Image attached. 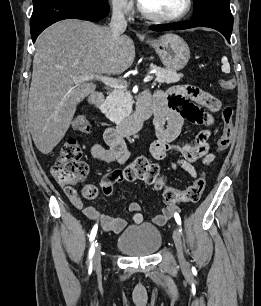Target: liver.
Wrapping results in <instances>:
<instances>
[{
    "label": "liver",
    "mask_w": 261,
    "mask_h": 306,
    "mask_svg": "<svg viewBox=\"0 0 261 306\" xmlns=\"http://www.w3.org/2000/svg\"><path fill=\"white\" fill-rule=\"evenodd\" d=\"M28 120L38 150L49 154L67 132L77 105L96 85L74 76L120 75L135 59L127 35L113 37L109 27L65 19L45 29L35 43Z\"/></svg>",
    "instance_id": "1"
}]
</instances>
